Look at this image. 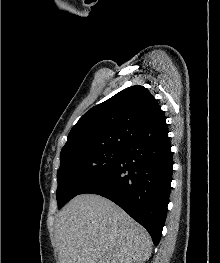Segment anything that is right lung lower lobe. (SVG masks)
Listing matches in <instances>:
<instances>
[{"instance_id": "98d812e1", "label": "right lung lower lobe", "mask_w": 220, "mask_h": 263, "mask_svg": "<svg viewBox=\"0 0 220 263\" xmlns=\"http://www.w3.org/2000/svg\"><path fill=\"white\" fill-rule=\"evenodd\" d=\"M172 166L168 132L158 138L138 139L79 194H98L112 200L145 227L158 245L169 203Z\"/></svg>"}]
</instances>
